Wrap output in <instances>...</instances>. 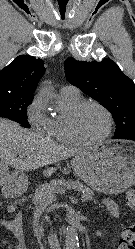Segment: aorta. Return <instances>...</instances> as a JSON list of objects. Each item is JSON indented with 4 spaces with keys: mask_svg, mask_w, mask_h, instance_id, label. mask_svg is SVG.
<instances>
[{
    "mask_svg": "<svg viewBox=\"0 0 135 249\" xmlns=\"http://www.w3.org/2000/svg\"><path fill=\"white\" fill-rule=\"evenodd\" d=\"M42 97L48 103H53L55 100V95L48 88L42 91ZM65 249H79L78 231L75 225L67 229Z\"/></svg>",
    "mask_w": 135,
    "mask_h": 249,
    "instance_id": "1",
    "label": "aorta"
}]
</instances>
